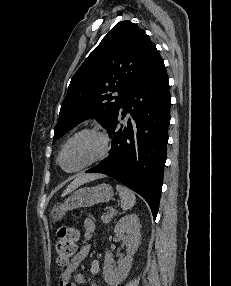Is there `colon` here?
<instances>
[{
    "mask_svg": "<svg viewBox=\"0 0 231 286\" xmlns=\"http://www.w3.org/2000/svg\"><path fill=\"white\" fill-rule=\"evenodd\" d=\"M79 232L76 228L63 225L57 231L56 262L60 268H65L76 252Z\"/></svg>",
    "mask_w": 231,
    "mask_h": 286,
    "instance_id": "1",
    "label": "colon"
}]
</instances>
